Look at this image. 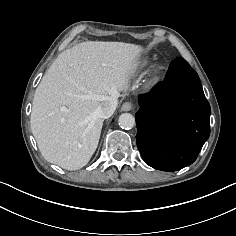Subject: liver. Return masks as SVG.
I'll list each match as a JSON object with an SVG mask.
<instances>
[{"label": "liver", "instance_id": "obj_1", "mask_svg": "<svg viewBox=\"0 0 236 236\" xmlns=\"http://www.w3.org/2000/svg\"><path fill=\"white\" fill-rule=\"evenodd\" d=\"M141 51L129 43L90 41L58 55L36 89L30 118L48 162L78 170L90 161L104 121L98 109L127 90Z\"/></svg>", "mask_w": 236, "mask_h": 236}]
</instances>
